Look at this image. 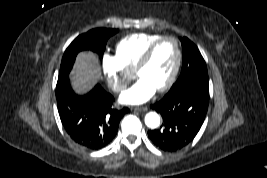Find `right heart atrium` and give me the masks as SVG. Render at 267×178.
Wrapping results in <instances>:
<instances>
[{"label":"right heart atrium","instance_id":"1","mask_svg":"<svg viewBox=\"0 0 267 178\" xmlns=\"http://www.w3.org/2000/svg\"><path fill=\"white\" fill-rule=\"evenodd\" d=\"M102 69L109 87L114 92L123 91L132 78V72L127 70L116 56L105 54L102 57Z\"/></svg>","mask_w":267,"mask_h":178}]
</instances>
